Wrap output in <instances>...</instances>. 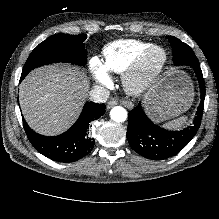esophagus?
<instances>
[{
  "mask_svg": "<svg viewBox=\"0 0 219 219\" xmlns=\"http://www.w3.org/2000/svg\"><path fill=\"white\" fill-rule=\"evenodd\" d=\"M114 105H116V102L115 101H110L109 103H108V108H110L111 106H114Z\"/></svg>",
  "mask_w": 219,
  "mask_h": 219,
  "instance_id": "obj_1",
  "label": "esophagus"
}]
</instances>
